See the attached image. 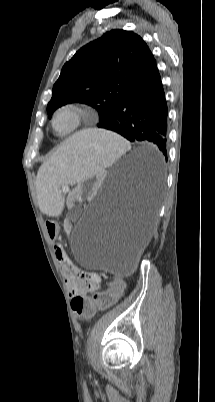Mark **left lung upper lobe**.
Masks as SVG:
<instances>
[{
	"label": "left lung upper lobe",
	"instance_id": "5c2ea615",
	"mask_svg": "<svg viewBox=\"0 0 215 402\" xmlns=\"http://www.w3.org/2000/svg\"><path fill=\"white\" fill-rule=\"evenodd\" d=\"M156 65L143 39L129 31L112 30L78 50L63 66L47 106L48 116L72 102L96 108L100 123Z\"/></svg>",
	"mask_w": 215,
	"mask_h": 402
}]
</instances>
